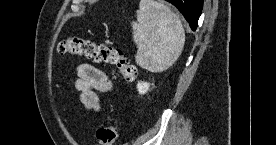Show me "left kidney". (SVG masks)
<instances>
[{
    "mask_svg": "<svg viewBox=\"0 0 276 145\" xmlns=\"http://www.w3.org/2000/svg\"><path fill=\"white\" fill-rule=\"evenodd\" d=\"M149 87H150V83L148 82L140 81L137 84V90L139 94H145L149 90Z\"/></svg>",
    "mask_w": 276,
    "mask_h": 145,
    "instance_id": "1",
    "label": "left kidney"
}]
</instances>
